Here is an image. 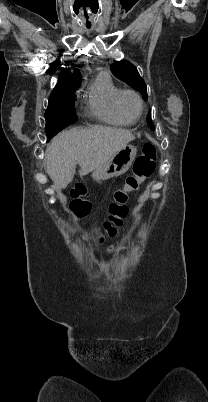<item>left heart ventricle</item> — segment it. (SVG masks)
<instances>
[{
	"label": "left heart ventricle",
	"mask_w": 208,
	"mask_h": 402,
	"mask_svg": "<svg viewBox=\"0 0 208 402\" xmlns=\"http://www.w3.org/2000/svg\"><path fill=\"white\" fill-rule=\"evenodd\" d=\"M122 109L130 116L135 117L139 113V104L132 95L125 94L120 99Z\"/></svg>",
	"instance_id": "obj_1"
}]
</instances>
